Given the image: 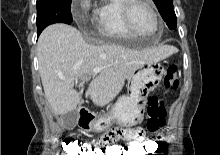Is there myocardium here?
Wrapping results in <instances>:
<instances>
[{
  "label": "myocardium",
  "mask_w": 220,
  "mask_h": 155,
  "mask_svg": "<svg viewBox=\"0 0 220 155\" xmlns=\"http://www.w3.org/2000/svg\"><path fill=\"white\" fill-rule=\"evenodd\" d=\"M136 4H144L146 5L149 10L151 11V13L153 14L155 21H156V29L153 33L150 34H145L142 32H139L133 25L132 23V19H131V11L132 8L134 7V5ZM122 17H123V21L124 24L126 26V28L133 34L136 36H150V35H154L157 34L161 31L162 29V20L161 17L157 11V9L155 8L154 4L152 3L151 0H124V3L122 5Z\"/></svg>",
  "instance_id": "obj_1"
}]
</instances>
